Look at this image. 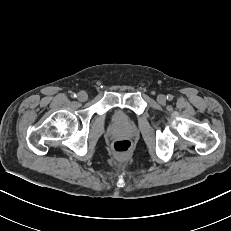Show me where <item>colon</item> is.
Returning <instances> with one entry per match:
<instances>
[{"mask_svg": "<svg viewBox=\"0 0 231 231\" xmlns=\"http://www.w3.org/2000/svg\"><path fill=\"white\" fill-rule=\"evenodd\" d=\"M132 149V143L128 139H119L113 143V150L118 155H126Z\"/></svg>", "mask_w": 231, "mask_h": 231, "instance_id": "colon-1", "label": "colon"}]
</instances>
